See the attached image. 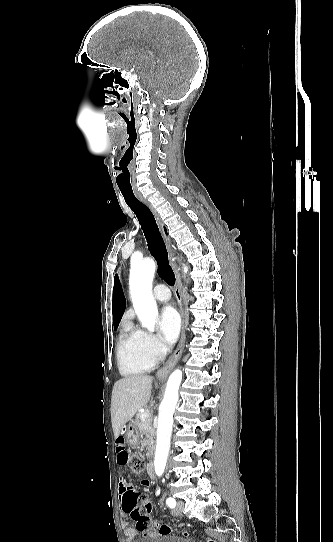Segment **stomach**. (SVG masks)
I'll list each match as a JSON object with an SVG mask.
<instances>
[{
  "mask_svg": "<svg viewBox=\"0 0 333 542\" xmlns=\"http://www.w3.org/2000/svg\"><path fill=\"white\" fill-rule=\"evenodd\" d=\"M125 438L129 446H133V448H135V446H138L140 436L138 428L137 426H135L134 422H129L128 426H126Z\"/></svg>",
  "mask_w": 333,
  "mask_h": 542,
  "instance_id": "1",
  "label": "stomach"
}]
</instances>
